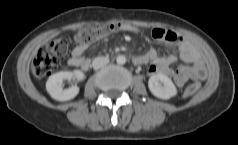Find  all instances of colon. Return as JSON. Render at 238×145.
Listing matches in <instances>:
<instances>
[{
  "label": "colon",
  "mask_w": 238,
  "mask_h": 145,
  "mask_svg": "<svg viewBox=\"0 0 238 145\" xmlns=\"http://www.w3.org/2000/svg\"><path fill=\"white\" fill-rule=\"evenodd\" d=\"M119 25L108 24L97 28H85L75 35L78 45L86 47L96 40L106 36ZM68 50V42L64 38H57L51 41L45 48L40 49L33 62V71L39 78L51 75L59 67L60 58L66 54ZM200 88L199 83H193L186 87L184 95L190 97Z\"/></svg>",
  "instance_id": "5ec220e1"
}]
</instances>
